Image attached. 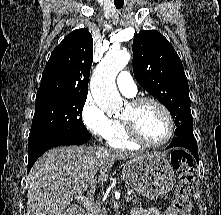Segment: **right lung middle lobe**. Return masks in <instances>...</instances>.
<instances>
[{
	"label": "right lung middle lobe",
	"instance_id": "dd1d6c3e",
	"mask_svg": "<svg viewBox=\"0 0 221 215\" xmlns=\"http://www.w3.org/2000/svg\"><path fill=\"white\" fill-rule=\"evenodd\" d=\"M87 96H57L35 105L28 146L50 139H68L88 134L82 122Z\"/></svg>",
	"mask_w": 221,
	"mask_h": 215
}]
</instances>
